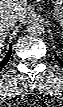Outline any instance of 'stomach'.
Instances as JSON below:
<instances>
[{"label": "stomach", "mask_w": 63, "mask_h": 107, "mask_svg": "<svg viewBox=\"0 0 63 107\" xmlns=\"http://www.w3.org/2000/svg\"><path fill=\"white\" fill-rule=\"evenodd\" d=\"M52 18L58 22H63V0H56L54 3Z\"/></svg>", "instance_id": "1"}]
</instances>
